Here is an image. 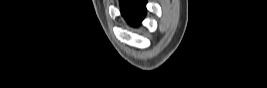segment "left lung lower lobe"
Wrapping results in <instances>:
<instances>
[{
  "label": "left lung lower lobe",
  "mask_w": 267,
  "mask_h": 88,
  "mask_svg": "<svg viewBox=\"0 0 267 88\" xmlns=\"http://www.w3.org/2000/svg\"><path fill=\"white\" fill-rule=\"evenodd\" d=\"M121 7L124 16L132 24H135L143 14V7L139 6L135 1H121Z\"/></svg>",
  "instance_id": "0a47b994"
}]
</instances>
